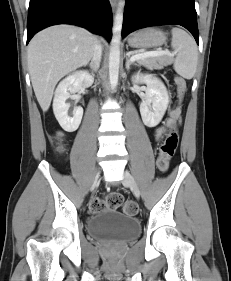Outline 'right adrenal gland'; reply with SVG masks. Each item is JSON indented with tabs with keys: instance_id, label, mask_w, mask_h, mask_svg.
<instances>
[{
	"instance_id": "right-adrenal-gland-1",
	"label": "right adrenal gland",
	"mask_w": 231,
	"mask_h": 281,
	"mask_svg": "<svg viewBox=\"0 0 231 281\" xmlns=\"http://www.w3.org/2000/svg\"><path fill=\"white\" fill-rule=\"evenodd\" d=\"M89 67H90V69H92V72H96L97 71V68L93 67L92 63L89 64Z\"/></svg>"
}]
</instances>
